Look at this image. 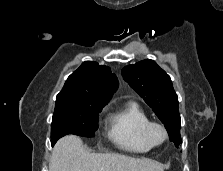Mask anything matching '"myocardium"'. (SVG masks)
Returning a JSON list of instances; mask_svg holds the SVG:
<instances>
[{
	"label": "myocardium",
	"instance_id": "myocardium-1",
	"mask_svg": "<svg viewBox=\"0 0 223 171\" xmlns=\"http://www.w3.org/2000/svg\"><path fill=\"white\" fill-rule=\"evenodd\" d=\"M154 129H159L162 132L161 140L157 141L153 138ZM144 136L152 147L160 146L164 144L166 140L168 139V131L162 123L156 122V121H149L144 128Z\"/></svg>",
	"mask_w": 223,
	"mask_h": 171
}]
</instances>
